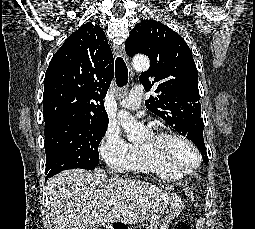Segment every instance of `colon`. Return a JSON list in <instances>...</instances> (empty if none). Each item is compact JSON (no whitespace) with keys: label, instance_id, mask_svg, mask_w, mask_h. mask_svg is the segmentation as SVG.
I'll use <instances>...</instances> for the list:
<instances>
[{"label":"colon","instance_id":"5ec220e1","mask_svg":"<svg viewBox=\"0 0 255 229\" xmlns=\"http://www.w3.org/2000/svg\"><path fill=\"white\" fill-rule=\"evenodd\" d=\"M174 229H190V225L186 221L182 220L175 225Z\"/></svg>","mask_w":255,"mask_h":229}]
</instances>
